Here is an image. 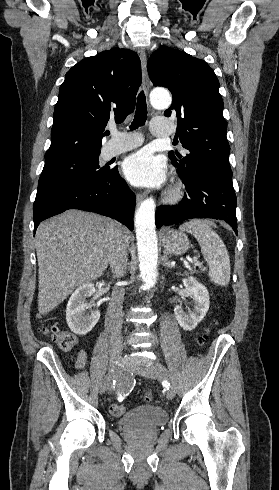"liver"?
Here are the masks:
<instances>
[{
	"label": "liver",
	"mask_w": 279,
	"mask_h": 490,
	"mask_svg": "<svg viewBox=\"0 0 279 490\" xmlns=\"http://www.w3.org/2000/svg\"><path fill=\"white\" fill-rule=\"evenodd\" d=\"M117 232L129 244L127 228L80 210H67L41 222L35 236L39 314L52 312L75 288L103 276Z\"/></svg>",
	"instance_id": "1"
}]
</instances>
